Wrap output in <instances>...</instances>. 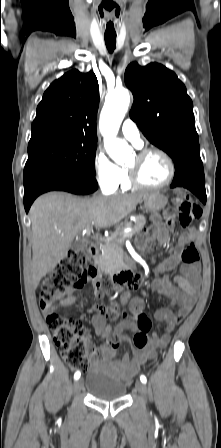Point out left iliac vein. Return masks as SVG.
<instances>
[{"instance_id":"obj_1","label":"left iliac vein","mask_w":221,"mask_h":448,"mask_svg":"<svg viewBox=\"0 0 221 448\" xmlns=\"http://www.w3.org/2000/svg\"><path fill=\"white\" fill-rule=\"evenodd\" d=\"M136 389L141 395H143L144 397L146 396V386L144 383H142L141 381H137Z\"/></svg>"}]
</instances>
